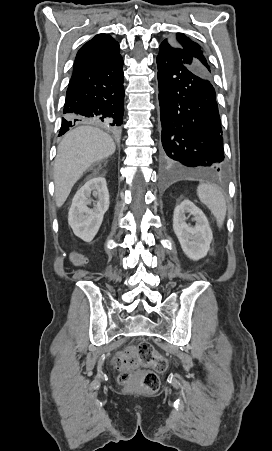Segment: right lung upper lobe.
Masks as SVG:
<instances>
[{"label": "right lung upper lobe", "instance_id": "cb5924a9", "mask_svg": "<svg viewBox=\"0 0 272 451\" xmlns=\"http://www.w3.org/2000/svg\"><path fill=\"white\" fill-rule=\"evenodd\" d=\"M119 44L108 34H98L78 51L74 68L118 54Z\"/></svg>", "mask_w": 272, "mask_h": 451}]
</instances>
